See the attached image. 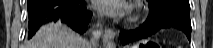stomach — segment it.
Wrapping results in <instances>:
<instances>
[{
    "instance_id": "stomach-1",
    "label": "stomach",
    "mask_w": 213,
    "mask_h": 48,
    "mask_svg": "<svg viewBox=\"0 0 213 48\" xmlns=\"http://www.w3.org/2000/svg\"><path fill=\"white\" fill-rule=\"evenodd\" d=\"M167 31H162V34L163 33H166ZM150 41L149 40H144V41H141L133 46H128L127 48H139L140 46H146L147 43H149Z\"/></svg>"
}]
</instances>
